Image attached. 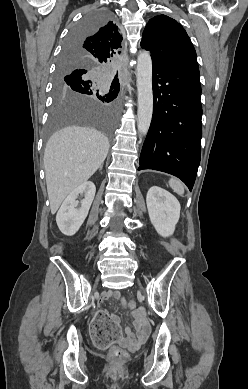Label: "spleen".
<instances>
[{
	"instance_id": "1",
	"label": "spleen",
	"mask_w": 248,
	"mask_h": 389,
	"mask_svg": "<svg viewBox=\"0 0 248 389\" xmlns=\"http://www.w3.org/2000/svg\"><path fill=\"white\" fill-rule=\"evenodd\" d=\"M169 186L173 189L174 192H176L179 195L184 194V185L181 181L175 178H171L169 180Z\"/></svg>"
}]
</instances>
